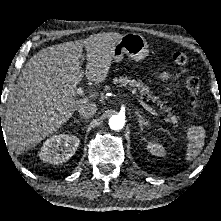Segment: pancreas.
I'll list each match as a JSON object with an SVG mask.
<instances>
[{"mask_svg": "<svg viewBox=\"0 0 221 221\" xmlns=\"http://www.w3.org/2000/svg\"><path fill=\"white\" fill-rule=\"evenodd\" d=\"M113 83L114 84H119V87H133V88H136L140 91L141 95H145V96H147V98H150L153 102H156L161 108L164 109V111H167V112L170 111V109L165 106L164 102L160 101L158 99V97H155V96L152 95V92L149 90V87L144 85L141 80L136 81L134 79H130L128 77H123L122 76V77H119V78H114ZM168 120L170 122H172L173 124L177 123L176 116H174L171 113L168 115Z\"/></svg>", "mask_w": 221, "mask_h": 221, "instance_id": "obj_1", "label": "pancreas"}]
</instances>
